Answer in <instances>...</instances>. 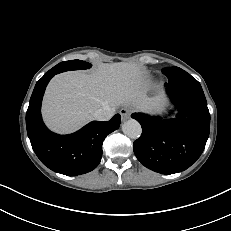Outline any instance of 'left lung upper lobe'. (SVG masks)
<instances>
[{"label": "left lung upper lobe", "instance_id": "5c2ea615", "mask_svg": "<svg viewBox=\"0 0 231 231\" xmlns=\"http://www.w3.org/2000/svg\"><path fill=\"white\" fill-rule=\"evenodd\" d=\"M169 68H172V67H169ZM169 68H165L164 71L168 70ZM164 71H163V72H164Z\"/></svg>", "mask_w": 231, "mask_h": 231}]
</instances>
